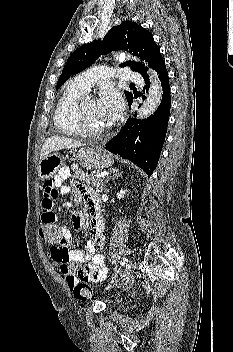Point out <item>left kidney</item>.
<instances>
[{
	"mask_svg": "<svg viewBox=\"0 0 233 352\" xmlns=\"http://www.w3.org/2000/svg\"><path fill=\"white\" fill-rule=\"evenodd\" d=\"M126 192H127V190L121 189L120 192L117 193V198H119V199L124 198Z\"/></svg>",
	"mask_w": 233,
	"mask_h": 352,
	"instance_id": "1",
	"label": "left kidney"
}]
</instances>
